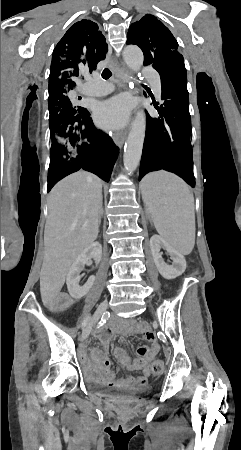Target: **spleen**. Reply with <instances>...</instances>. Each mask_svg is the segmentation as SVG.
I'll return each instance as SVG.
<instances>
[{"instance_id": "3e777b00", "label": "spleen", "mask_w": 241, "mask_h": 450, "mask_svg": "<svg viewBox=\"0 0 241 450\" xmlns=\"http://www.w3.org/2000/svg\"><path fill=\"white\" fill-rule=\"evenodd\" d=\"M142 200L154 226L182 256L195 246L194 198L186 182L170 172H151L140 184Z\"/></svg>"}]
</instances>
